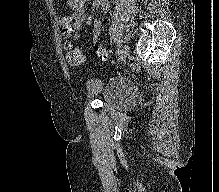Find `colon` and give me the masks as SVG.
Segmentation results:
<instances>
[{
	"instance_id": "1",
	"label": "colon",
	"mask_w": 219,
	"mask_h": 192,
	"mask_svg": "<svg viewBox=\"0 0 219 192\" xmlns=\"http://www.w3.org/2000/svg\"><path fill=\"white\" fill-rule=\"evenodd\" d=\"M93 48L100 60L107 61L109 59V51L102 44L95 42ZM66 57L68 62L73 65H79L86 61L85 54L73 48L69 42L67 43Z\"/></svg>"
}]
</instances>
